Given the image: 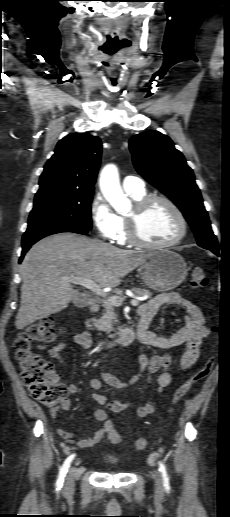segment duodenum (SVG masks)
<instances>
[{
  "label": "duodenum",
  "mask_w": 230,
  "mask_h": 517,
  "mask_svg": "<svg viewBox=\"0 0 230 517\" xmlns=\"http://www.w3.org/2000/svg\"><path fill=\"white\" fill-rule=\"evenodd\" d=\"M90 312L95 314L99 311L100 305L97 302H93L90 305ZM153 314L147 311L139 312L138 319L135 323L122 330L117 336L100 341V343L107 348L112 347H125L132 344L134 341H141ZM92 316H88L85 319V326L89 332H94V323Z\"/></svg>",
  "instance_id": "1"
}]
</instances>
